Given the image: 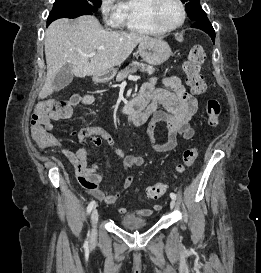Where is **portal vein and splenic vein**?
Returning a JSON list of instances; mask_svg holds the SVG:
<instances>
[{"instance_id": "1", "label": "portal vein and splenic vein", "mask_w": 261, "mask_h": 273, "mask_svg": "<svg viewBox=\"0 0 261 273\" xmlns=\"http://www.w3.org/2000/svg\"><path fill=\"white\" fill-rule=\"evenodd\" d=\"M100 49H102V48H100ZM95 55H96V52H92V53L88 54L87 56H88L89 58H91V57H93V56H95ZM128 79H129V80H137V79H140V77H139V76L129 75V76H128Z\"/></svg>"}]
</instances>
